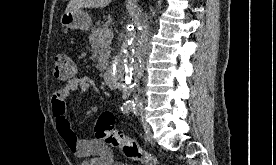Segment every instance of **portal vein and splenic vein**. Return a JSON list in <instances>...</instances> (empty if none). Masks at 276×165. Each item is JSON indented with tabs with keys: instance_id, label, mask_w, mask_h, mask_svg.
<instances>
[{
	"instance_id": "portal-vein-and-splenic-vein-1",
	"label": "portal vein and splenic vein",
	"mask_w": 276,
	"mask_h": 165,
	"mask_svg": "<svg viewBox=\"0 0 276 165\" xmlns=\"http://www.w3.org/2000/svg\"><path fill=\"white\" fill-rule=\"evenodd\" d=\"M101 35L104 37H110L112 36V31L108 27H104L101 31Z\"/></svg>"
}]
</instances>
